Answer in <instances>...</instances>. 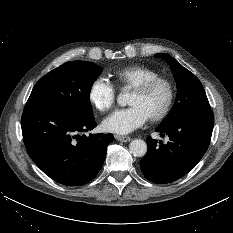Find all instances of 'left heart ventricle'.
<instances>
[{
	"label": "left heart ventricle",
	"mask_w": 233,
	"mask_h": 233,
	"mask_svg": "<svg viewBox=\"0 0 233 233\" xmlns=\"http://www.w3.org/2000/svg\"><path fill=\"white\" fill-rule=\"evenodd\" d=\"M167 97V87L160 84L146 94H139L132 91L127 103L130 106L140 107L149 118L162 110L167 101Z\"/></svg>",
	"instance_id": "b2bd125f"
}]
</instances>
